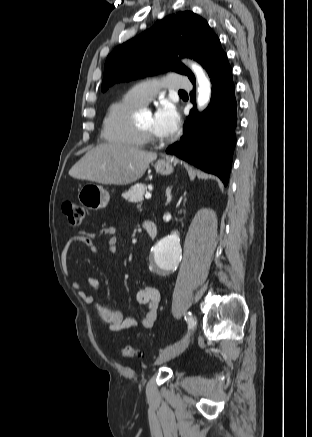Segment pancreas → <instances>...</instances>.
<instances>
[{
  "instance_id": "obj_1",
  "label": "pancreas",
  "mask_w": 312,
  "mask_h": 437,
  "mask_svg": "<svg viewBox=\"0 0 312 437\" xmlns=\"http://www.w3.org/2000/svg\"><path fill=\"white\" fill-rule=\"evenodd\" d=\"M147 191V185L143 183L132 186L127 192L123 194V198L131 203H138L143 201V196Z\"/></svg>"
}]
</instances>
